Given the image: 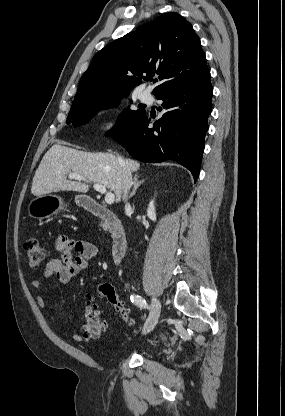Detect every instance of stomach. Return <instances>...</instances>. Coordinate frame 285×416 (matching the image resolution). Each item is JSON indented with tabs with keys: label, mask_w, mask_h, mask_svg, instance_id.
<instances>
[{
	"label": "stomach",
	"mask_w": 285,
	"mask_h": 416,
	"mask_svg": "<svg viewBox=\"0 0 285 416\" xmlns=\"http://www.w3.org/2000/svg\"><path fill=\"white\" fill-rule=\"evenodd\" d=\"M78 204H83L82 198H79ZM64 202L60 196L55 194H43V196H36L28 204V216L34 220H45L51 218L54 214H58L64 210Z\"/></svg>",
	"instance_id": "obj_1"
}]
</instances>
